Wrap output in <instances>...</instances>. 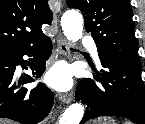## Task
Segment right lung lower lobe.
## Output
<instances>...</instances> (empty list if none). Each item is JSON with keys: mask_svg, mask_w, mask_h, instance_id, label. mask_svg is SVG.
<instances>
[{"mask_svg": "<svg viewBox=\"0 0 145 124\" xmlns=\"http://www.w3.org/2000/svg\"><path fill=\"white\" fill-rule=\"evenodd\" d=\"M51 50V40L46 36L29 47L0 51V118L22 124H37L49 114L54 100L51 90L42 83L31 90L19 88L21 84L31 83L34 79L25 75L17 81L14 72L16 66H25L24 55L34 56L37 59H31V70L33 75L40 77Z\"/></svg>", "mask_w": 145, "mask_h": 124, "instance_id": "98d812e1", "label": "right lung lower lobe"}]
</instances>
